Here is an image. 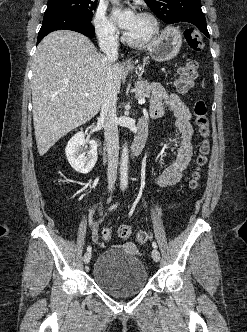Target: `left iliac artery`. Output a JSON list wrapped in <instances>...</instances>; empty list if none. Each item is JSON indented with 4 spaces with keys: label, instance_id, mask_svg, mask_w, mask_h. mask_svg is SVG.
<instances>
[{
    "label": "left iliac artery",
    "instance_id": "left-iliac-artery-1",
    "mask_svg": "<svg viewBox=\"0 0 247 332\" xmlns=\"http://www.w3.org/2000/svg\"><path fill=\"white\" fill-rule=\"evenodd\" d=\"M152 246L154 247V248H157V244H156V242H152Z\"/></svg>",
    "mask_w": 247,
    "mask_h": 332
}]
</instances>
